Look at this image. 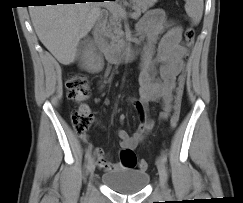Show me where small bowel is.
Segmentation results:
<instances>
[{"instance_id":"small-bowel-1","label":"small bowel","mask_w":243,"mask_h":203,"mask_svg":"<svg viewBox=\"0 0 243 203\" xmlns=\"http://www.w3.org/2000/svg\"><path fill=\"white\" fill-rule=\"evenodd\" d=\"M137 34L145 40L140 61L141 98L131 101V104L138 113L140 124L132 134L123 129L118 132L120 147L132 150L155 127L148 111L150 103L162 106L160 120L169 118L173 109L176 79L184 69V58L187 55V49L181 42V27L167 20L160 9L151 10L141 18L137 25ZM109 73L110 69H107L106 76ZM103 86L104 82L101 83V88ZM119 120L123 123L125 116L121 115ZM89 148L92 149V146ZM93 151L100 168L107 171L122 168L121 163L108 161L101 148H93Z\"/></svg>"}]
</instances>
